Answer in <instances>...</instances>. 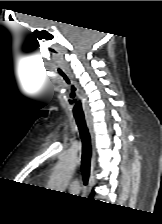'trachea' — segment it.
Here are the masks:
<instances>
[{
    "mask_svg": "<svg viewBox=\"0 0 162 224\" xmlns=\"http://www.w3.org/2000/svg\"><path fill=\"white\" fill-rule=\"evenodd\" d=\"M76 124L79 129V133L82 139V160H81V171L83 176V183L87 185L90 176V166H91V139L88 128L86 126V121L84 117L74 116Z\"/></svg>",
    "mask_w": 162,
    "mask_h": 224,
    "instance_id": "obj_1",
    "label": "trachea"
}]
</instances>
